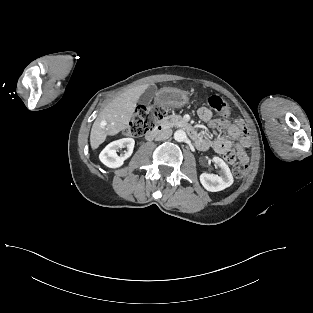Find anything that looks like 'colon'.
I'll return each instance as SVG.
<instances>
[{"instance_id": "obj_1", "label": "colon", "mask_w": 313, "mask_h": 313, "mask_svg": "<svg viewBox=\"0 0 313 313\" xmlns=\"http://www.w3.org/2000/svg\"><path fill=\"white\" fill-rule=\"evenodd\" d=\"M208 104L220 115L227 117L231 113L230 104L223 98L212 95L208 98ZM166 115V111L161 106L147 105L140 106L132 120L124 128L123 134L128 137L143 136L157 126L158 122ZM228 162L232 163V171L236 177H242L247 170V159L238 158L232 153L226 154L224 157Z\"/></svg>"}]
</instances>
